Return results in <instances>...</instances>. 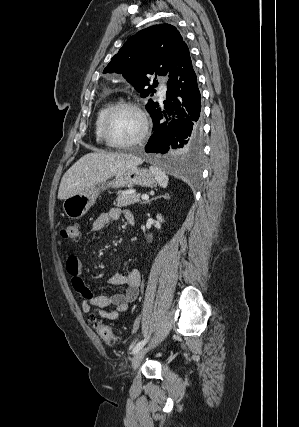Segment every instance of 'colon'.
<instances>
[{"instance_id":"5ec220e1","label":"colon","mask_w":299,"mask_h":427,"mask_svg":"<svg viewBox=\"0 0 299 427\" xmlns=\"http://www.w3.org/2000/svg\"><path fill=\"white\" fill-rule=\"evenodd\" d=\"M60 235L67 240L78 241L80 239L79 225L76 223L64 225L60 230ZM94 327L96 332L106 344L115 345L118 343V337L107 324L96 321L94 323Z\"/></svg>"}]
</instances>
